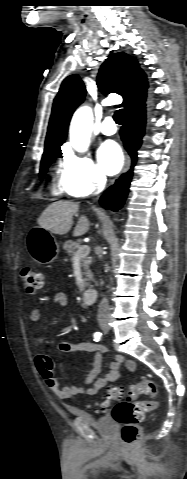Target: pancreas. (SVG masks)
Segmentation results:
<instances>
[{"instance_id": "cf45deb5", "label": "pancreas", "mask_w": 187, "mask_h": 479, "mask_svg": "<svg viewBox=\"0 0 187 479\" xmlns=\"http://www.w3.org/2000/svg\"><path fill=\"white\" fill-rule=\"evenodd\" d=\"M81 245L78 243V242H74L72 240H69V241H66L64 242L63 244V249L66 251V253L71 256L72 258H74L75 256V253L76 251L78 250V248L80 247ZM81 262H82V267L84 269V272H83V275L85 276L84 278V287H88L90 286V281L93 279V274L92 272L89 270V264H90V260L88 257H83L81 258Z\"/></svg>"}]
</instances>
